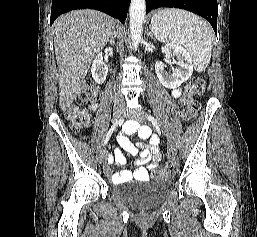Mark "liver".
I'll list each match as a JSON object with an SVG mask.
<instances>
[{
    "instance_id": "obj_1",
    "label": "liver",
    "mask_w": 257,
    "mask_h": 237,
    "mask_svg": "<svg viewBox=\"0 0 257 237\" xmlns=\"http://www.w3.org/2000/svg\"><path fill=\"white\" fill-rule=\"evenodd\" d=\"M115 32V22L95 10L71 11L54 23L59 70V105L65 111L77 97L95 55Z\"/></svg>"
}]
</instances>
